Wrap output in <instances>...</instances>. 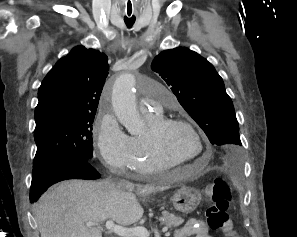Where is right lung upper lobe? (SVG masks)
<instances>
[{"label":"right lung upper lobe","mask_w":297,"mask_h":237,"mask_svg":"<svg viewBox=\"0 0 297 237\" xmlns=\"http://www.w3.org/2000/svg\"><path fill=\"white\" fill-rule=\"evenodd\" d=\"M105 54L77 46L60 59L38 89L35 122L58 115L96 114L100 94L108 75Z\"/></svg>","instance_id":"obj_1"}]
</instances>
